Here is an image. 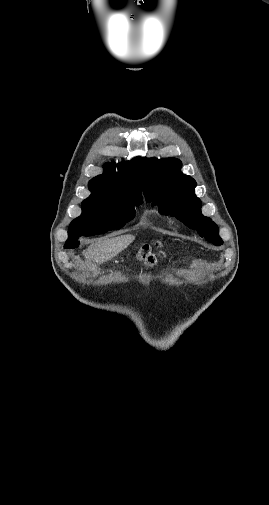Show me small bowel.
Wrapping results in <instances>:
<instances>
[{
	"instance_id": "c3829d8e",
	"label": "small bowel",
	"mask_w": 269,
	"mask_h": 505,
	"mask_svg": "<svg viewBox=\"0 0 269 505\" xmlns=\"http://www.w3.org/2000/svg\"><path fill=\"white\" fill-rule=\"evenodd\" d=\"M185 265H186V267L190 268V267H192L193 264H192V262L188 261V262H186Z\"/></svg>"
}]
</instances>
